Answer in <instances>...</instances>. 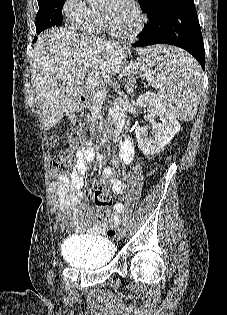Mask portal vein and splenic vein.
Wrapping results in <instances>:
<instances>
[{
  "label": "portal vein and splenic vein",
  "instance_id": "18ae733b",
  "mask_svg": "<svg viewBox=\"0 0 227 315\" xmlns=\"http://www.w3.org/2000/svg\"><path fill=\"white\" fill-rule=\"evenodd\" d=\"M141 65H136V66H133L132 68L134 67H139ZM142 69L146 70V74L145 76L148 78V81L153 85V86H157L159 85V81L158 79H154V77L152 76V73L149 69L145 68V66L143 65L142 66ZM126 74V71H123L120 75H119V78H122L124 75ZM87 84H90V85H97V79L93 78V77H88L87 78ZM107 91H104V92H99L96 94V97H97V101L99 102L100 99H104L105 95H106Z\"/></svg>",
  "mask_w": 227,
  "mask_h": 315
}]
</instances>
